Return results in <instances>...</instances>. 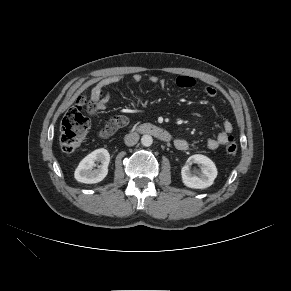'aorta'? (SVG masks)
<instances>
[{"label": "aorta", "mask_w": 291, "mask_h": 291, "mask_svg": "<svg viewBox=\"0 0 291 291\" xmlns=\"http://www.w3.org/2000/svg\"><path fill=\"white\" fill-rule=\"evenodd\" d=\"M141 143L143 146H151L153 143V138L151 135H143L141 138Z\"/></svg>", "instance_id": "obj_1"}]
</instances>
